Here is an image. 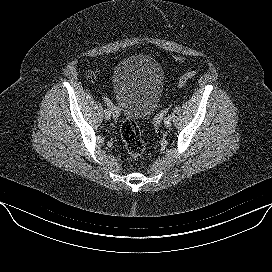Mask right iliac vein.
<instances>
[{
  "label": "right iliac vein",
  "instance_id": "right-iliac-vein-1",
  "mask_svg": "<svg viewBox=\"0 0 272 272\" xmlns=\"http://www.w3.org/2000/svg\"><path fill=\"white\" fill-rule=\"evenodd\" d=\"M104 117L106 120H109L111 118V112L108 111V114H104Z\"/></svg>",
  "mask_w": 272,
  "mask_h": 272
}]
</instances>
